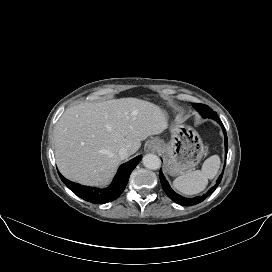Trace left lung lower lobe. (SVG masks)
<instances>
[{
    "instance_id": "obj_1",
    "label": "left lung lower lobe",
    "mask_w": 272,
    "mask_h": 272,
    "mask_svg": "<svg viewBox=\"0 0 272 272\" xmlns=\"http://www.w3.org/2000/svg\"><path fill=\"white\" fill-rule=\"evenodd\" d=\"M212 119H214L215 121H217L223 129V133L225 136V156H227V151H228V140H227V134H226V130L224 128V125L222 124L221 120L218 118L217 116H213ZM223 176V172L220 175V177L218 178L216 184L204 195L200 196V197H195V198H185L180 196L179 194L175 193L171 187L169 186L167 180L165 179L162 171L160 170V181H161V185L163 187V190L165 191V193L167 194V196L173 200L174 202L183 205V206H191V205H195L198 204L200 202H202L203 200H205L219 185V183L221 182Z\"/></svg>"
}]
</instances>
